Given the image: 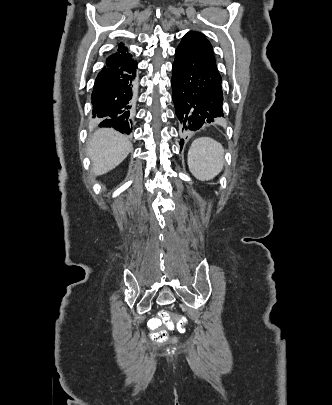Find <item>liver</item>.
Segmentation results:
<instances>
[{
  "mask_svg": "<svg viewBox=\"0 0 332 405\" xmlns=\"http://www.w3.org/2000/svg\"><path fill=\"white\" fill-rule=\"evenodd\" d=\"M131 150L132 145L124 134L112 128L97 130L88 144L93 173L99 176L114 169Z\"/></svg>",
  "mask_w": 332,
  "mask_h": 405,
  "instance_id": "1",
  "label": "liver"
}]
</instances>
